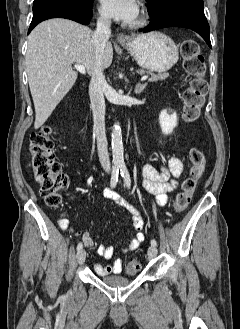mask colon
Wrapping results in <instances>:
<instances>
[{
    "label": "colon",
    "mask_w": 240,
    "mask_h": 329,
    "mask_svg": "<svg viewBox=\"0 0 240 329\" xmlns=\"http://www.w3.org/2000/svg\"><path fill=\"white\" fill-rule=\"evenodd\" d=\"M184 68L193 78L189 86L183 91V119L187 123L198 120L205 102L208 86L204 78L205 63L200 47L194 40H186L181 45ZM55 140L53 127L44 126L31 136L29 166L35 181L40 186V193L46 204L52 208L62 205V191L66 188L68 179L61 164L54 158ZM191 163L189 177L184 180L180 192L174 201L176 212L185 211L194 194L197 180L206 167V157L202 150L193 148L189 152ZM139 264L131 260L127 266L129 274H135Z\"/></svg>",
    "instance_id": "1"
}]
</instances>
